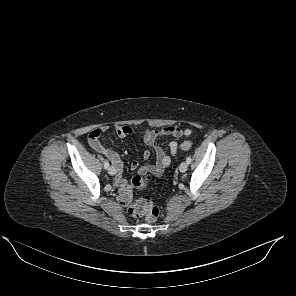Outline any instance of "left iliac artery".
Returning a JSON list of instances; mask_svg holds the SVG:
<instances>
[{"label": "left iliac artery", "mask_w": 296, "mask_h": 296, "mask_svg": "<svg viewBox=\"0 0 296 296\" xmlns=\"http://www.w3.org/2000/svg\"><path fill=\"white\" fill-rule=\"evenodd\" d=\"M191 161H192L191 157H190V156H188V157H187V159H186V162H187L188 164H190V163H191Z\"/></svg>", "instance_id": "44dca946"}]
</instances>
